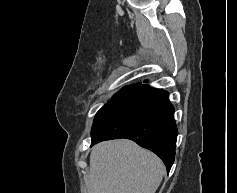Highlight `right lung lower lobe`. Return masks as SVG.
<instances>
[{"label": "right lung lower lobe", "instance_id": "right-lung-lower-lobe-1", "mask_svg": "<svg viewBox=\"0 0 237 193\" xmlns=\"http://www.w3.org/2000/svg\"><path fill=\"white\" fill-rule=\"evenodd\" d=\"M173 114L166 91L140 85L120 103L97 113L91 146L104 140L130 139L158 155L169 172L178 134Z\"/></svg>", "mask_w": 237, "mask_h": 193}]
</instances>
